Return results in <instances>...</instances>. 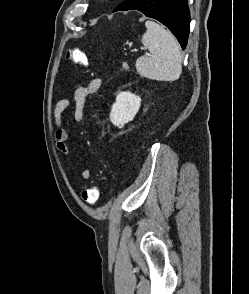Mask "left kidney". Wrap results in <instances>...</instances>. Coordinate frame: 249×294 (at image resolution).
Returning <instances> with one entry per match:
<instances>
[{
  "instance_id": "left-kidney-1",
  "label": "left kidney",
  "mask_w": 249,
  "mask_h": 294,
  "mask_svg": "<svg viewBox=\"0 0 249 294\" xmlns=\"http://www.w3.org/2000/svg\"><path fill=\"white\" fill-rule=\"evenodd\" d=\"M141 98L129 91L117 95L110 112V121L117 127L122 128L132 121L140 109Z\"/></svg>"
}]
</instances>
